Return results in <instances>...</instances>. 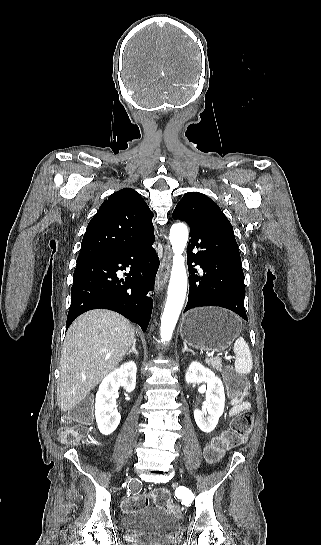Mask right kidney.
Masks as SVG:
<instances>
[{
  "label": "right kidney",
  "mask_w": 321,
  "mask_h": 545,
  "mask_svg": "<svg viewBox=\"0 0 321 545\" xmlns=\"http://www.w3.org/2000/svg\"><path fill=\"white\" fill-rule=\"evenodd\" d=\"M137 367L134 361L124 363L103 379L96 393L95 419L102 435H111L120 423V413L114 411L120 385L132 393L136 385Z\"/></svg>",
  "instance_id": "ca27d5eb"
}]
</instances>
